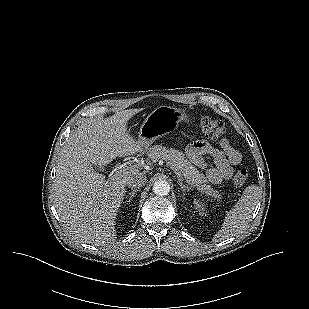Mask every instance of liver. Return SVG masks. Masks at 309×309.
Here are the masks:
<instances>
[{
  "instance_id": "obj_1",
  "label": "liver",
  "mask_w": 309,
  "mask_h": 309,
  "mask_svg": "<svg viewBox=\"0 0 309 309\" xmlns=\"http://www.w3.org/2000/svg\"><path fill=\"white\" fill-rule=\"evenodd\" d=\"M142 109L117 112L85 121L64 145L53 185L54 205L61 222L81 242L105 246L116 239L115 219L126 193V178L105 180L94 171L117 157L142 153L144 146L127 131L129 119Z\"/></svg>"
}]
</instances>
